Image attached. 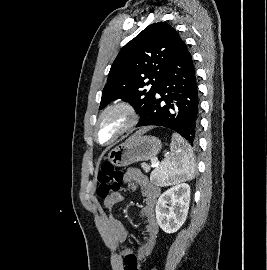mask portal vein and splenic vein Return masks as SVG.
<instances>
[{
    "instance_id": "1",
    "label": "portal vein and splenic vein",
    "mask_w": 267,
    "mask_h": 270,
    "mask_svg": "<svg viewBox=\"0 0 267 270\" xmlns=\"http://www.w3.org/2000/svg\"><path fill=\"white\" fill-rule=\"evenodd\" d=\"M158 163V159L157 158H153L151 159V165L155 166Z\"/></svg>"
}]
</instances>
